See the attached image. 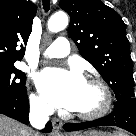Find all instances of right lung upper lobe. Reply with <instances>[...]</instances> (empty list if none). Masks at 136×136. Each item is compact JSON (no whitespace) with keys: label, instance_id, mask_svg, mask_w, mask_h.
<instances>
[{"label":"right lung upper lobe","instance_id":"right-lung-upper-lobe-1","mask_svg":"<svg viewBox=\"0 0 136 136\" xmlns=\"http://www.w3.org/2000/svg\"><path fill=\"white\" fill-rule=\"evenodd\" d=\"M35 14L29 0H0V64L23 58Z\"/></svg>","mask_w":136,"mask_h":136}]
</instances>
